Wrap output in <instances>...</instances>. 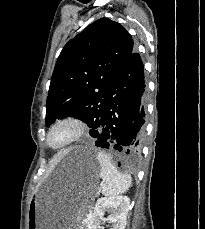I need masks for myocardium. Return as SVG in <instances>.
<instances>
[{"instance_id": "f54148a6", "label": "myocardium", "mask_w": 205, "mask_h": 229, "mask_svg": "<svg viewBox=\"0 0 205 229\" xmlns=\"http://www.w3.org/2000/svg\"><path fill=\"white\" fill-rule=\"evenodd\" d=\"M61 127L68 128L70 130V135L63 142L59 144H52L51 138L54 132ZM85 132H86V124L81 118L73 115L65 116L57 119L50 126V128L46 133L45 143L47 147H49L52 150H60L80 140L84 136Z\"/></svg>"}]
</instances>
